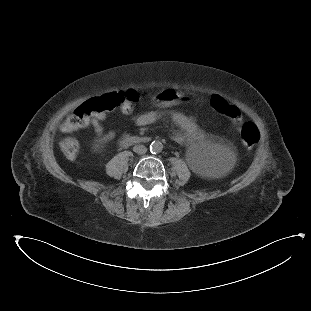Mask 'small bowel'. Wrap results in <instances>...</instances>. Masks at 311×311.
<instances>
[{"instance_id": "c3829d8e", "label": "small bowel", "mask_w": 311, "mask_h": 311, "mask_svg": "<svg viewBox=\"0 0 311 311\" xmlns=\"http://www.w3.org/2000/svg\"><path fill=\"white\" fill-rule=\"evenodd\" d=\"M177 97L178 96H176L174 100H176ZM158 99L161 102H166L161 100L159 96ZM105 118V113L95 114L90 119V125L93 127V132L96 137L100 138L103 142H110L114 138V132H104L102 122ZM164 118L171 119L180 128V131L172 136V140L177 144L192 145L205 139V132L197 125L196 121L191 116L175 110L158 109L147 111L137 116L136 123L140 126H147Z\"/></svg>"}]
</instances>
